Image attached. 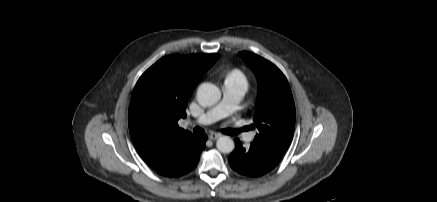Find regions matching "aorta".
<instances>
[{"label": "aorta", "instance_id": "762f6f07", "mask_svg": "<svg viewBox=\"0 0 437 202\" xmlns=\"http://www.w3.org/2000/svg\"><path fill=\"white\" fill-rule=\"evenodd\" d=\"M220 98V89L212 83H202L197 90V100L201 106H212ZM216 147L222 153H231L235 148V144L230 137L222 136L217 140Z\"/></svg>", "mask_w": 437, "mask_h": 202}]
</instances>
